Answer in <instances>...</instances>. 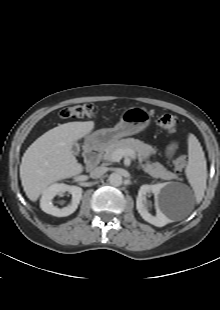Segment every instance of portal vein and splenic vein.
I'll use <instances>...</instances> for the list:
<instances>
[{
  "instance_id": "1",
  "label": "portal vein and splenic vein",
  "mask_w": 220,
  "mask_h": 310,
  "mask_svg": "<svg viewBox=\"0 0 220 310\" xmlns=\"http://www.w3.org/2000/svg\"><path fill=\"white\" fill-rule=\"evenodd\" d=\"M129 156L132 159L136 158L135 152L131 149H118L113 153V161L119 162L122 157Z\"/></svg>"
}]
</instances>
